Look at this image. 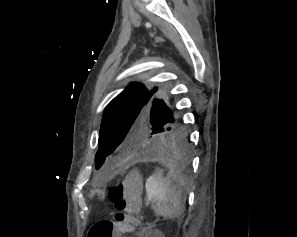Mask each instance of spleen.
<instances>
[{
  "label": "spleen",
  "mask_w": 297,
  "mask_h": 237,
  "mask_svg": "<svg viewBox=\"0 0 297 237\" xmlns=\"http://www.w3.org/2000/svg\"><path fill=\"white\" fill-rule=\"evenodd\" d=\"M145 188L157 215L169 220L182 215L181 192L170 177L164 178L162 173L157 171L146 180Z\"/></svg>",
  "instance_id": "spleen-1"
}]
</instances>
